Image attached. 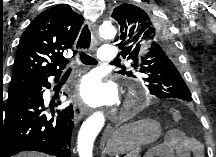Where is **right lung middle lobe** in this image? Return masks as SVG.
<instances>
[{"label": "right lung middle lobe", "mask_w": 216, "mask_h": 157, "mask_svg": "<svg viewBox=\"0 0 216 157\" xmlns=\"http://www.w3.org/2000/svg\"><path fill=\"white\" fill-rule=\"evenodd\" d=\"M15 92H10V93H8V96H11L12 94H14Z\"/></svg>", "instance_id": "right-lung-middle-lobe-1"}]
</instances>
